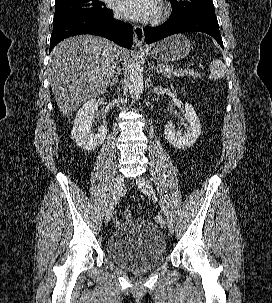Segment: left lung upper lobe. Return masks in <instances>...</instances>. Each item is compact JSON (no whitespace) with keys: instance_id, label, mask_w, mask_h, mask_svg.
Segmentation results:
<instances>
[{"instance_id":"5c2ea615","label":"left lung upper lobe","mask_w":272,"mask_h":303,"mask_svg":"<svg viewBox=\"0 0 272 303\" xmlns=\"http://www.w3.org/2000/svg\"><path fill=\"white\" fill-rule=\"evenodd\" d=\"M173 7L171 18L188 14L215 13L212 0H170Z\"/></svg>"}]
</instances>
